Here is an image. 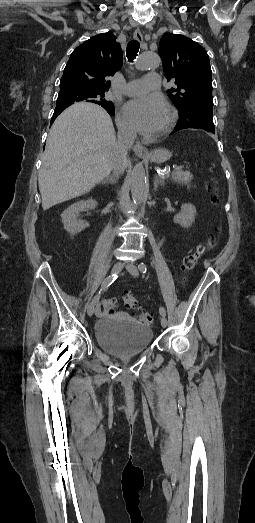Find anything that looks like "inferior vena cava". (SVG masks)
I'll list each match as a JSON object with an SVG mask.
<instances>
[{"mask_svg": "<svg viewBox=\"0 0 255 523\" xmlns=\"http://www.w3.org/2000/svg\"><path fill=\"white\" fill-rule=\"evenodd\" d=\"M135 138H137V136L134 130H130L125 124L118 126V142L116 146L118 156H116L113 168V176H115V178H119L120 174H124L127 166L128 150L133 146Z\"/></svg>", "mask_w": 255, "mask_h": 523, "instance_id": "obj_1", "label": "inferior vena cava"}]
</instances>
